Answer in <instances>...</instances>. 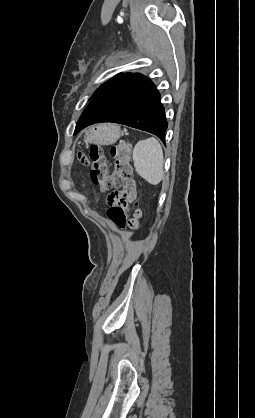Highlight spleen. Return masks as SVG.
Listing matches in <instances>:
<instances>
[{
  "mask_svg": "<svg viewBox=\"0 0 255 418\" xmlns=\"http://www.w3.org/2000/svg\"><path fill=\"white\" fill-rule=\"evenodd\" d=\"M136 172L149 184L157 185L164 177L163 151L157 139L140 140L133 149Z\"/></svg>",
  "mask_w": 255,
  "mask_h": 418,
  "instance_id": "1",
  "label": "spleen"
}]
</instances>
